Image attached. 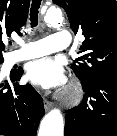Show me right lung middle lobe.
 Wrapping results in <instances>:
<instances>
[{"instance_id": "right-lung-middle-lobe-1", "label": "right lung middle lobe", "mask_w": 117, "mask_h": 136, "mask_svg": "<svg viewBox=\"0 0 117 136\" xmlns=\"http://www.w3.org/2000/svg\"><path fill=\"white\" fill-rule=\"evenodd\" d=\"M4 59H0V64L3 63Z\"/></svg>"}]
</instances>
